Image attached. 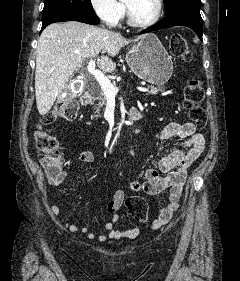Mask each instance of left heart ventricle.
I'll return each instance as SVG.
<instances>
[{
  "instance_id": "left-heart-ventricle-1",
  "label": "left heart ventricle",
  "mask_w": 240,
  "mask_h": 281,
  "mask_svg": "<svg viewBox=\"0 0 240 281\" xmlns=\"http://www.w3.org/2000/svg\"><path fill=\"white\" fill-rule=\"evenodd\" d=\"M134 20L145 22L150 20L156 10V0H124Z\"/></svg>"
}]
</instances>
